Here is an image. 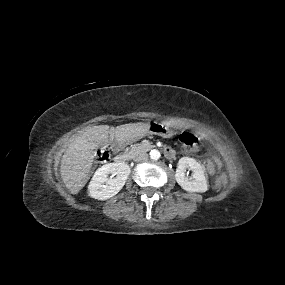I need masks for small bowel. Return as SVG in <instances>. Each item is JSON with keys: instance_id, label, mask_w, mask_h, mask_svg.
Segmentation results:
<instances>
[{"instance_id": "1", "label": "small bowel", "mask_w": 285, "mask_h": 285, "mask_svg": "<svg viewBox=\"0 0 285 285\" xmlns=\"http://www.w3.org/2000/svg\"><path fill=\"white\" fill-rule=\"evenodd\" d=\"M203 164H204L205 170L209 174L215 173L216 166H218V167L222 166V162L219 158H217V157L213 158V157H208V156L203 159Z\"/></svg>"}]
</instances>
